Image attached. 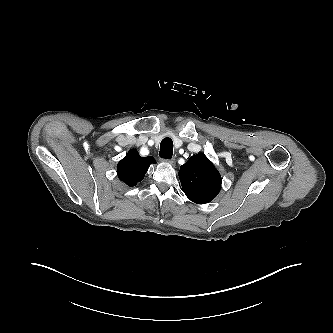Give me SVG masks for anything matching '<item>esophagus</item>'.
I'll return each mask as SVG.
<instances>
[{
	"label": "esophagus",
	"instance_id": "1",
	"mask_svg": "<svg viewBox=\"0 0 333 333\" xmlns=\"http://www.w3.org/2000/svg\"><path fill=\"white\" fill-rule=\"evenodd\" d=\"M167 161L170 165L175 166V159H167Z\"/></svg>",
	"mask_w": 333,
	"mask_h": 333
}]
</instances>
